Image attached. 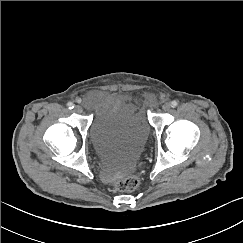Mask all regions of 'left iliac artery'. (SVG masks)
<instances>
[{
  "label": "left iliac artery",
  "mask_w": 243,
  "mask_h": 243,
  "mask_svg": "<svg viewBox=\"0 0 243 243\" xmlns=\"http://www.w3.org/2000/svg\"><path fill=\"white\" fill-rule=\"evenodd\" d=\"M178 105V102L176 101V100H173L172 102H171V106L172 107H176Z\"/></svg>",
  "instance_id": "obj_1"
}]
</instances>
